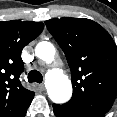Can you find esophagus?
Segmentation results:
<instances>
[{
  "instance_id": "esophagus-1",
  "label": "esophagus",
  "mask_w": 117,
  "mask_h": 117,
  "mask_svg": "<svg viewBox=\"0 0 117 117\" xmlns=\"http://www.w3.org/2000/svg\"><path fill=\"white\" fill-rule=\"evenodd\" d=\"M38 88H39L40 91H44L45 90L44 84H39Z\"/></svg>"
}]
</instances>
